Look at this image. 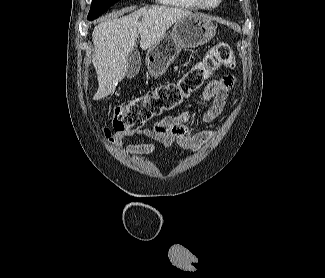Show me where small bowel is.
I'll use <instances>...</instances> for the list:
<instances>
[{
    "label": "small bowel",
    "mask_w": 325,
    "mask_h": 278,
    "mask_svg": "<svg viewBox=\"0 0 325 278\" xmlns=\"http://www.w3.org/2000/svg\"><path fill=\"white\" fill-rule=\"evenodd\" d=\"M237 86V80L232 76L209 81L202 90L200 106L209 104L208 109L195 121L190 112H183L176 116L166 117L157 121L151 128L140 130H126L117 132L115 139L122 142L134 136H144L156 140L164 147L175 142L182 150L195 151L201 149L213 136L211 130L191 133L189 124L201 126L214 121L223 111L229 92ZM156 151L152 143H136L126 146V152L132 155L145 156Z\"/></svg>",
    "instance_id": "small-bowel-1"
}]
</instances>
